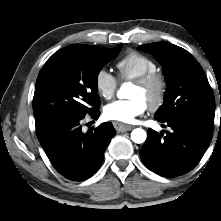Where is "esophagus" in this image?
Segmentation results:
<instances>
[{"mask_svg":"<svg viewBox=\"0 0 221 221\" xmlns=\"http://www.w3.org/2000/svg\"><path fill=\"white\" fill-rule=\"evenodd\" d=\"M114 127L118 132H126V131H130L134 128V126L132 125H127V124H123L120 122H114Z\"/></svg>","mask_w":221,"mask_h":221,"instance_id":"obj_1","label":"esophagus"}]
</instances>
